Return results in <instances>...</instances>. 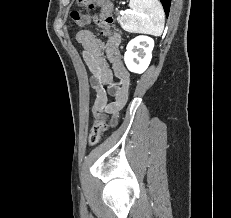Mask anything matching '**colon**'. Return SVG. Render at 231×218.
<instances>
[{
    "mask_svg": "<svg viewBox=\"0 0 231 218\" xmlns=\"http://www.w3.org/2000/svg\"><path fill=\"white\" fill-rule=\"evenodd\" d=\"M79 5L86 9H93L95 7H100V19L99 24L103 28V34L109 35L111 32V27L113 24L112 16V4L108 0H77ZM71 18L74 23L79 26H86L90 23V15L87 13H82L80 11H72ZM107 122L104 118H100L95 121L91 133L89 135V144L95 146L100 142L101 136L107 130Z\"/></svg>",
    "mask_w": 231,
    "mask_h": 218,
    "instance_id": "colon-1",
    "label": "colon"
}]
</instances>
